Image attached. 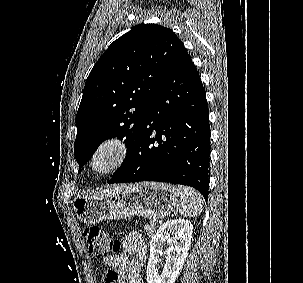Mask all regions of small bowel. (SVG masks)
<instances>
[{
	"label": "small bowel",
	"instance_id": "c3829d8e",
	"mask_svg": "<svg viewBox=\"0 0 303 283\" xmlns=\"http://www.w3.org/2000/svg\"><path fill=\"white\" fill-rule=\"evenodd\" d=\"M146 257L147 246L141 234H127L122 241V252L103 259V264L112 270L104 276L102 283H144L140 269Z\"/></svg>",
	"mask_w": 303,
	"mask_h": 283
}]
</instances>
